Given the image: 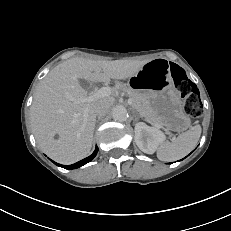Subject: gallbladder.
Wrapping results in <instances>:
<instances>
[{"mask_svg": "<svg viewBox=\"0 0 231 231\" xmlns=\"http://www.w3.org/2000/svg\"><path fill=\"white\" fill-rule=\"evenodd\" d=\"M79 84L85 90H87L91 87L90 83L87 80L81 79V80H79Z\"/></svg>", "mask_w": 231, "mask_h": 231, "instance_id": "bac80fb5", "label": "gallbladder"}]
</instances>
